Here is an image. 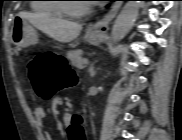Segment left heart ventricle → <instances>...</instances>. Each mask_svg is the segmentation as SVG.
Masks as SVG:
<instances>
[{
  "label": "left heart ventricle",
  "mask_w": 182,
  "mask_h": 140,
  "mask_svg": "<svg viewBox=\"0 0 182 140\" xmlns=\"http://www.w3.org/2000/svg\"><path fill=\"white\" fill-rule=\"evenodd\" d=\"M68 5L70 8L78 10L81 9L85 5V3H83L82 1H70Z\"/></svg>",
  "instance_id": "obj_1"
}]
</instances>
